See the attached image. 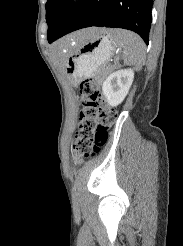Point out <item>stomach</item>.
Masks as SVG:
<instances>
[{
	"label": "stomach",
	"mask_w": 183,
	"mask_h": 246,
	"mask_svg": "<svg viewBox=\"0 0 183 246\" xmlns=\"http://www.w3.org/2000/svg\"><path fill=\"white\" fill-rule=\"evenodd\" d=\"M112 30L101 29L92 39L83 44L76 42L64 48L66 56V73L74 84L84 77L96 75L111 58L115 44Z\"/></svg>",
	"instance_id": "1"
}]
</instances>
